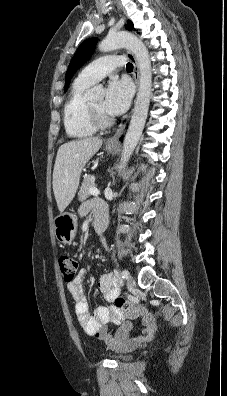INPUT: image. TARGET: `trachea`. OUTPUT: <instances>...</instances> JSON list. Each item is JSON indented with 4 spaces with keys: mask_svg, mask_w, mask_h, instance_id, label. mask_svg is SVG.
Returning a JSON list of instances; mask_svg holds the SVG:
<instances>
[{
    "mask_svg": "<svg viewBox=\"0 0 227 396\" xmlns=\"http://www.w3.org/2000/svg\"><path fill=\"white\" fill-rule=\"evenodd\" d=\"M126 69H127L128 71H132V70H133V65H132L131 63H127Z\"/></svg>",
    "mask_w": 227,
    "mask_h": 396,
    "instance_id": "1",
    "label": "trachea"
}]
</instances>
